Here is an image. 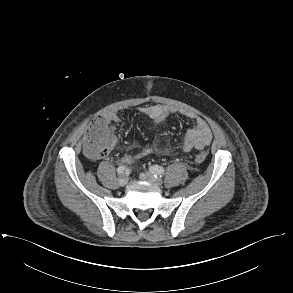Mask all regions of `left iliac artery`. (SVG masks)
Returning <instances> with one entry per match:
<instances>
[{
  "label": "left iliac artery",
  "instance_id": "1",
  "mask_svg": "<svg viewBox=\"0 0 293 293\" xmlns=\"http://www.w3.org/2000/svg\"><path fill=\"white\" fill-rule=\"evenodd\" d=\"M149 171L153 173L156 178L162 177L165 173L164 168L158 165H153L149 167Z\"/></svg>",
  "mask_w": 293,
  "mask_h": 293
}]
</instances>
